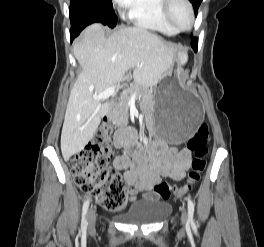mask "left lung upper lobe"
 Returning a JSON list of instances; mask_svg holds the SVG:
<instances>
[{
  "mask_svg": "<svg viewBox=\"0 0 264 247\" xmlns=\"http://www.w3.org/2000/svg\"><path fill=\"white\" fill-rule=\"evenodd\" d=\"M190 2L193 4V7L195 8V14H197L198 7L200 6L202 0H190Z\"/></svg>",
  "mask_w": 264,
  "mask_h": 247,
  "instance_id": "1",
  "label": "left lung upper lobe"
}]
</instances>
